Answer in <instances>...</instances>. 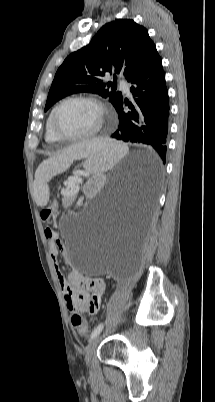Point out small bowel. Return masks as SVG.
Listing matches in <instances>:
<instances>
[{"label":"small bowel","mask_w":215,"mask_h":402,"mask_svg":"<svg viewBox=\"0 0 215 402\" xmlns=\"http://www.w3.org/2000/svg\"><path fill=\"white\" fill-rule=\"evenodd\" d=\"M68 204V201H64ZM49 252L56 268L57 278L61 286L65 304L70 311L87 312L94 315L98 312L102 297L105 293V282L102 278H89L73 270L66 278L58 266V256L65 255V246L59 234L53 228L45 229ZM90 305L95 307L94 312L89 311Z\"/></svg>","instance_id":"c3829d8e"}]
</instances>
